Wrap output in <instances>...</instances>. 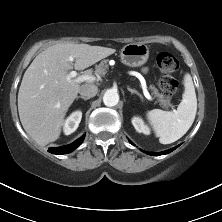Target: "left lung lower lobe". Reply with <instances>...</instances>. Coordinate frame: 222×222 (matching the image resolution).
Wrapping results in <instances>:
<instances>
[{"instance_id":"0a47b994","label":"left lung lower lobe","mask_w":222,"mask_h":222,"mask_svg":"<svg viewBox=\"0 0 222 222\" xmlns=\"http://www.w3.org/2000/svg\"><path fill=\"white\" fill-rule=\"evenodd\" d=\"M130 143L132 144V142L130 141ZM178 146L172 148V149H169V150H166V151H162V152H158V153H148L147 154H150V155H164V154H168L170 152H172L173 150H175Z\"/></svg>"}]
</instances>
